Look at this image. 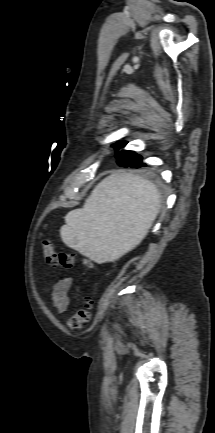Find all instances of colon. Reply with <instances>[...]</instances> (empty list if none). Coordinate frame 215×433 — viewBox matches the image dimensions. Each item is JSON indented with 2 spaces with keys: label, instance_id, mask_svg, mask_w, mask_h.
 Returning <instances> with one entry per match:
<instances>
[{
  "label": "colon",
  "instance_id": "colon-1",
  "mask_svg": "<svg viewBox=\"0 0 215 433\" xmlns=\"http://www.w3.org/2000/svg\"><path fill=\"white\" fill-rule=\"evenodd\" d=\"M43 254L48 265L61 269H70L75 263V254L70 252L57 251L53 244L45 241L43 244ZM85 265L89 262L85 261ZM93 309V300L86 298L82 307L72 315L68 322V328L71 330L82 329L91 319Z\"/></svg>",
  "mask_w": 215,
  "mask_h": 433
}]
</instances>
